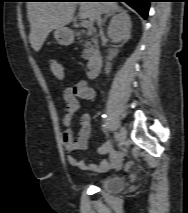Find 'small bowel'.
Returning <instances> with one entry per match:
<instances>
[{
	"instance_id": "small-bowel-1",
	"label": "small bowel",
	"mask_w": 188,
	"mask_h": 213,
	"mask_svg": "<svg viewBox=\"0 0 188 213\" xmlns=\"http://www.w3.org/2000/svg\"><path fill=\"white\" fill-rule=\"evenodd\" d=\"M63 99L66 104V109L62 115V124L66 127L63 132V142L66 152L68 153L67 160L70 165L87 171H106L109 168L120 169L123 165V157L120 153L113 150L110 141L104 142L97 148V153L107 156L101 160L100 164L86 163L78 159L73 153L79 150H86L89 147V136L91 132V115L83 113L80 116L79 130L74 137L69 126L71 125L74 114L79 109V100L95 101L97 99L96 91L91 88L85 80H81L74 85H69L63 90Z\"/></svg>"
}]
</instances>
